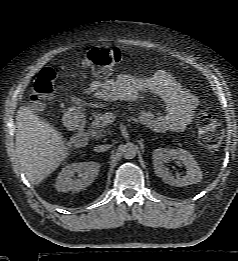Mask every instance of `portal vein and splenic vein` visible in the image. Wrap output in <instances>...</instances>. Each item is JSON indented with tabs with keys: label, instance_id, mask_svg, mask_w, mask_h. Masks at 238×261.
I'll return each mask as SVG.
<instances>
[{
	"label": "portal vein and splenic vein",
	"instance_id": "1",
	"mask_svg": "<svg viewBox=\"0 0 238 261\" xmlns=\"http://www.w3.org/2000/svg\"><path fill=\"white\" fill-rule=\"evenodd\" d=\"M107 121L106 122H108V123H110L111 121H112V115H111V113H107V116H105L104 117Z\"/></svg>",
	"mask_w": 238,
	"mask_h": 261
}]
</instances>
